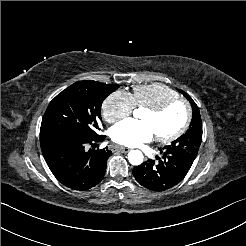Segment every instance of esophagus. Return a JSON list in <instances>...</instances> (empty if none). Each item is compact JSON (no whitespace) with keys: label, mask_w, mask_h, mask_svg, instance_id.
Masks as SVG:
<instances>
[{"label":"esophagus","mask_w":246,"mask_h":246,"mask_svg":"<svg viewBox=\"0 0 246 246\" xmlns=\"http://www.w3.org/2000/svg\"><path fill=\"white\" fill-rule=\"evenodd\" d=\"M113 151H119L122 153H127L130 151V149L127 147H123V146H113Z\"/></svg>","instance_id":"1"}]
</instances>
